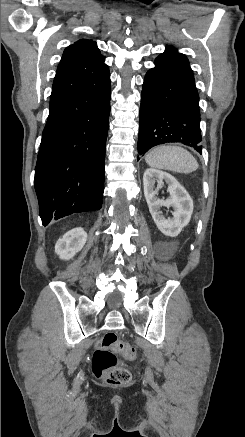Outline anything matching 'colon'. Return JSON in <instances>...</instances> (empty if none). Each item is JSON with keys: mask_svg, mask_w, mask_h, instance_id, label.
<instances>
[{"mask_svg": "<svg viewBox=\"0 0 245 437\" xmlns=\"http://www.w3.org/2000/svg\"><path fill=\"white\" fill-rule=\"evenodd\" d=\"M114 352H119L130 360L137 356L136 348L119 341L114 333H106L96 343L91 369L105 383L122 386L131 380V374L127 369L117 366Z\"/></svg>", "mask_w": 245, "mask_h": 437, "instance_id": "1", "label": "colon"}]
</instances>
